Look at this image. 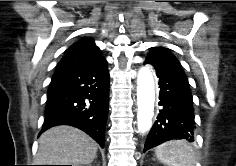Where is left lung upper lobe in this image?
Wrapping results in <instances>:
<instances>
[{"label":"left lung upper lobe","mask_w":236,"mask_h":166,"mask_svg":"<svg viewBox=\"0 0 236 166\" xmlns=\"http://www.w3.org/2000/svg\"><path fill=\"white\" fill-rule=\"evenodd\" d=\"M164 55H172V53L164 47H152L150 49V53L148 54L147 58H152V57H158V56H164Z\"/></svg>","instance_id":"5c2ea615"}]
</instances>
